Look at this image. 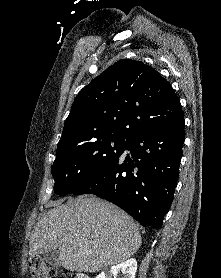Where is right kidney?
I'll use <instances>...</instances> for the list:
<instances>
[{"label":"right kidney","mask_w":221,"mask_h":278,"mask_svg":"<svg viewBox=\"0 0 221 278\" xmlns=\"http://www.w3.org/2000/svg\"><path fill=\"white\" fill-rule=\"evenodd\" d=\"M136 271L137 261L131 258L118 265L105 268L95 278H135Z\"/></svg>","instance_id":"right-kidney-1"}]
</instances>
